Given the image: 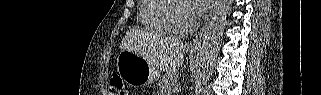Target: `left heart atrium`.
Here are the masks:
<instances>
[{
  "label": "left heart atrium",
  "instance_id": "1",
  "mask_svg": "<svg viewBox=\"0 0 321 95\" xmlns=\"http://www.w3.org/2000/svg\"><path fill=\"white\" fill-rule=\"evenodd\" d=\"M191 6L187 8L188 12L193 17L200 16L202 13L206 12L213 2L212 0H190Z\"/></svg>",
  "mask_w": 321,
  "mask_h": 95
}]
</instances>
